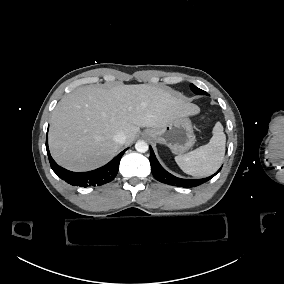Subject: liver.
<instances>
[{
  "mask_svg": "<svg viewBox=\"0 0 284 284\" xmlns=\"http://www.w3.org/2000/svg\"><path fill=\"white\" fill-rule=\"evenodd\" d=\"M172 90L148 84L94 85L76 88L57 104L51 118L49 148L55 161L72 171H89L110 161L122 145H130L140 127H162L200 108Z\"/></svg>",
  "mask_w": 284,
  "mask_h": 284,
  "instance_id": "1",
  "label": "liver"
}]
</instances>
